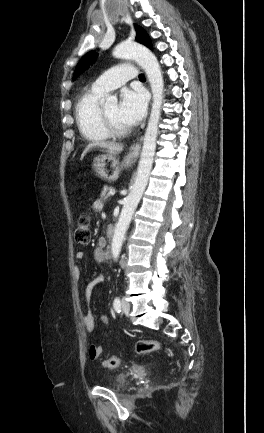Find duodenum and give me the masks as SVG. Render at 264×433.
Instances as JSON below:
<instances>
[{
  "mask_svg": "<svg viewBox=\"0 0 264 433\" xmlns=\"http://www.w3.org/2000/svg\"><path fill=\"white\" fill-rule=\"evenodd\" d=\"M107 235L109 237H112L114 235V228L113 226H109L107 228ZM98 260L99 261H104L106 260L107 256H108V249L107 248H102L100 247L99 251H98Z\"/></svg>",
  "mask_w": 264,
  "mask_h": 433,
  "instance_id": "1",
  "label": "duodenum"
}]
</instances>
